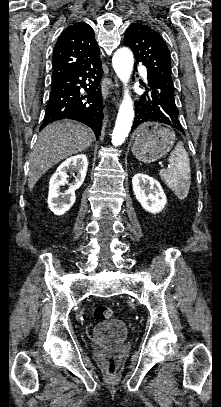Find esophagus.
I'll list each match as a JSON object with an SVG mask.
<instances>
[{"label":"esophagus","instance_id":"esophagus-1","mask_svg":"<svg viewBox=\"0 0 221 407\" xmlns=\"http://www.w3.org/2000/svg\"><path fill=\"white\" fill-rule=\"evenodd\" d=\"M113 85H112V82L109 80L108 81V87L110 88V87H112ZM109 92H108V90H107V88H104L103 89V96H105V95H107Z\"/></svg>","mask_w":221,"mask_h":407}]
</instances>
